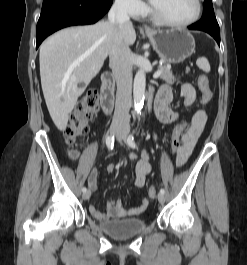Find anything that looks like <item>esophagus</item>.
Listing matches in <instances>:
<instances>
[{"label":"esophagus","instance_id":"1","mask_svg":"<svg viewBox=\"0 0 247 265\" xmlns=\"http://www.w3.org/2000/svg\"><path fill=\"white\" fill-rule=\"evenodd\" d=\"M144 29H145L146 31H150V30H151L148 26H144Z\"/></svg>","mask_w":247,"mask_h":265}]
</instances>
